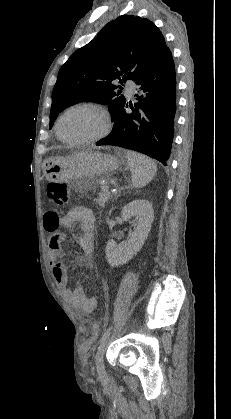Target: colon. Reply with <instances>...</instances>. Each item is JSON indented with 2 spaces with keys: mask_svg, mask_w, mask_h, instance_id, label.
I'll use <instances>...</instances> for the list:
<instances>
[{
  "mask_svg": "<svg viewBox=\"0 0 231 419\" xmlns=\"http://www.w3.org/2000/svg\"><path fill=\"white\" fill-rule=\"evenodd\" d=\"M47 194L49 198L58 206H65L69 202L70 189L65 183H50L47 186ZM99 332L98 323L94 324L93 334L90 341L96 339ZM90 341L84 343V346H88Z\"/></svg>",
  "mask_w": 231,
  "mask_h": 419,
  "instance_id": "obj_1",
  "label": "colon"
}]
</instances>
